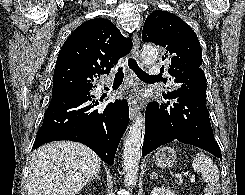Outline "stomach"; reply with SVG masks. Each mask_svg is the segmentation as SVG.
Segmentation results:
<instances>
[{"label":"stomach","instance_id":"1","mask_svg":"<svg viewBox=\"0 0 245 195\" xmlns=\"http://www.w3.org/2000/svg\"><path fill=\"white\" fill-rule=\"evenodd\" d=\"M177 159L176 151L171 147H162L155 153L154 162L160 168L171 167Z\"/></svg>","mask_w":245,"mask_h":195}]
</instances>
